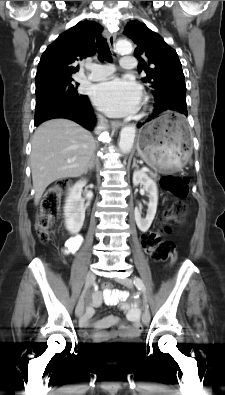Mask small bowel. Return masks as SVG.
<instances>
[{"instance_id": "small-bowel-1", "label": "small bowel", "mask_w": 225, "mask_h": 395, "mask_svg": "<svg viewBox=\"0 0 225 395\" xmlns=\"http://www.w3.org/2000/svg\"><path fill=\"white\" fill-rule=\"evenodd\" d=\"M82 243L80 235L71 236L65 242V253L76 252ZM127 298L126 292L114 290L112 288H103L102 292H97L93 295L92 303L86 308L83 317L80 320V325L83 328H88L92 325L95 332L90 334L86 331L81 332L83 338H92L98 343L107 341L116 335L115 331L108 330L111 326L119 322L118 318L114 316H107L94 324H91V319L94 315L95 308L99 307L102 302L109 305L119 304L121 309L126 312L127 319L132 323L131 325H122L119 334L124 337H136L140 334L139 318L140 311L136 306L130 305L125 302Z\"/></svg>"}]
</instances>
